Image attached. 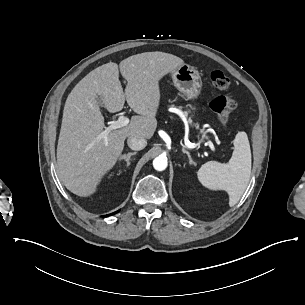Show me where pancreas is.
Instances as JSON below:
<instances>
[{"label": "pancreas", "mask_w": 305, "mask_h": 305, "mask_svg": "<svg viewBox=\"0 0 305 305\" xmlns=\"http://www.w3.org/2000/svg\"><path fill=\"white\" fill-rule=\"evenodd\" d=\"M187 114H188L187 112H184V115H185V116H187ZM189 122L191 123V120H189Z\"/></svg>", "instance_id": "cf45deb5"}]
</instances>
